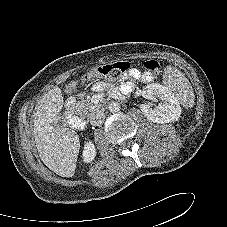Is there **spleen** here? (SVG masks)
Returning <instances> with one entry per match:
<instances>
[{"mask_svg":"<svg viewBox=\"0 0 227 227\" xmlns=\"http://www.w3.org/2000/svg\"><path fill=\"white\" fill-rule=\"evenodd\" d=\"M164 87L186 108L194 105V93L188 79L177 69L168 67L165 72Z\"/></svg>","mask_w":227,"mask_h":227,"instance_id":"1","label":"spleen"}]
</instances>
